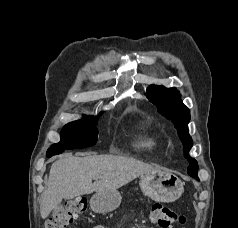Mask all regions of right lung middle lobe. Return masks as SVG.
<instances>
[{"label": "right lung middle lobe", "mask_w": 238, "mask_h": 228, "mask_svg": "<svg viewBox=\"0 0 238 228\" xmlns=\"http://www.w3.org/2000/svg\"><path fill=\"white\" fill-rule=\"evenodd\" d=\"M96 124L97 117L95 116H84L82 120L68 123L61 131V141L53 144L48 149L47 154L56 155L66 150L95 145L98 139Z\"/></svg>", "instance_id": "obj_1"}]
</instances>
